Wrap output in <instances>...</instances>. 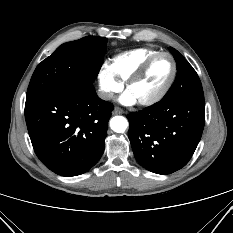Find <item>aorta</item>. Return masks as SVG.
<instances>
[{
    "instance_id": "obj_1",
    "label": "aorta",
    "mask_w": 233,
    "mask_h": 233,
    "mask_svg": "<svg viewBox=\"0 0 233 233\" xmlns=\"http://www.w3.org/2000/svg\"><path fill=\"white\" fill-rule=\"evenodd\" d=\"M110 127L116 133H123L128 127V121L123 116H115L110 120Z\"/></svg>"
}]
</instances>
